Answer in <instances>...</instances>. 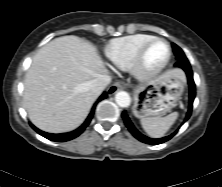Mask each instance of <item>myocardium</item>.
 <instances>
[{"label":"myocardium","instance_id":"myocardium-1","mask_svg":"<svg viewBox=\"0 0 222 187\" xmlns=\"http://www.w3.org/2000/svg\"><path fill=\"white\" fill-rule=\"evenodd\" d=\"M155 43H164L167 46L168 53L164 61L159 66L149 68L146 65V57L149 50ZM171 56L172 49L170 43L163 38L154 37L141 47L130 70L139 80L153 79L167 67L171 60Z\"/></svg>","mask_w":222,"mask_h":187}]
</instances>
